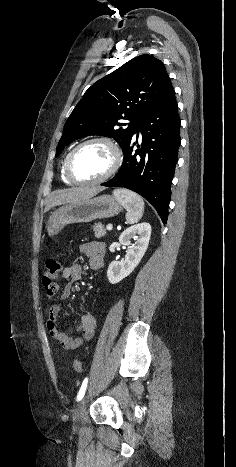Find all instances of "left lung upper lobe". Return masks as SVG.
Listing matches in <instances>:
<instances>
[{"label":"left lung upper lobe","mask_w":236,"mask_h":467,"mask_svg":"<svg viewBox=\"0 0 236 467\" xmlns=\"http://www.w3.org/2000/svg\"><path fill=\"white\" fill-rule=\"evenodd\" d=\"M171 87L159 59L148 54L131 59L85 92L65 123L55 157L89 135L113 137L123 150L140 120Z\"/></svg>","instance_id":"left-lung-upper-lobe-1"}]
</instances>
